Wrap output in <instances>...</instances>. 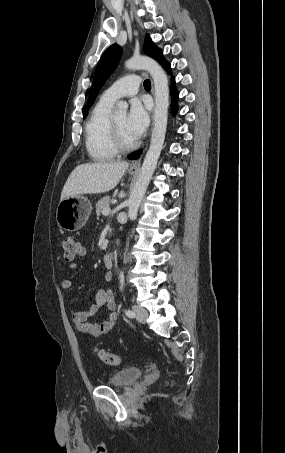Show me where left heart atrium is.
Returning a JSON list of instances; mask_svg holds the SVG:
<instances>
[{"instance_id":"39dd6f15","label":"left heart atrium","mask_w":285,"mask_h":453,"mask_svg":"<svg viewBox=\"0 0 285 453\" xmlns=\"http://www.w3.org/2000/svg\"><path fill=\"white\" fill-rule=\"evenodd\" d=\"M149 124V115L146 105L140 100L134 99L131 102L129 113L126 118V126L134 139L140 138Z\"/></svg>"}]
</instances>
